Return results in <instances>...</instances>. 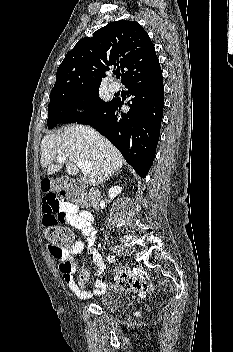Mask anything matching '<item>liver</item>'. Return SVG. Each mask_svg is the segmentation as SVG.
I'll use <instances>...</instances> for the list:
<instances>
[{
  "label": "liver",
  "mask_w": 233,
  "mask_h": 352,
  "mask_svg": "<svg viewBox=\"0 0 233 352\" xmlns=\"http://www.w3.org/2000/svg\"><path fill=\"white\" fill-rule=\"evenodd\" d=\"M57 157H66L59 164ZM78 161L91 165L89 184L97 186L104 178L120 170L124 159L118 149L94 129L84 125H70L57 134L46 135L41 142V165L52 175L66 167L68 175H76Z\"/></svg>",
  "instance_id": "obj_1"
}]
</instances>
